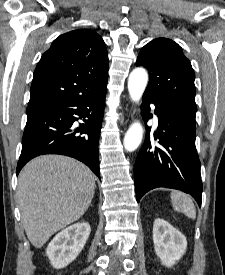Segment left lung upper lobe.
I'll return each mask as SVG.
<instances>
[{"label": "left lung upper lobe", "instance_id": "left-lung-upper-lobe-1", "mask_svg": "<svg viewBox=\"0 0 225 275\" xmlns=\"http://www.w3.org/2000/svg\"><path fill=\"white\" fill-rule=\"evenodd\" d=\"M136 65L149 72L145 93L196 114L194 71L177 43L167 38L152 40L142 48Z\"/></svg>", "mask_w": 225, "mask_h": 275}]
</instances>
